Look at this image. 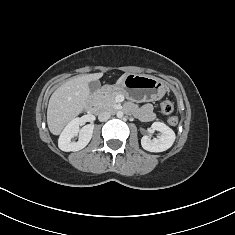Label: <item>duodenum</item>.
I'll return each instance as SVG.
<instances>
[{
    "instance_id": "duodenum-1",
    "label": "duodenum",
    "mask_w": 235,
    "mask_h": 235,
    "mask_svg": "<svg viewBox=\"0 0 235 235\" xmlns=\"http://www.w3.org/2000/svg\"><path fill=\"white\" fill-rule=\"evenodd\" d=\"M114 91L110 86H104L102 89L99 90V94H107ZM88 111L93 113L94 112V107L92 105L88 106Z\"/></svg>"
}]
</instances>
